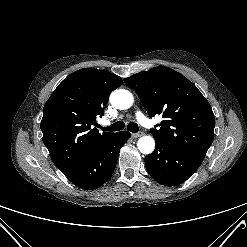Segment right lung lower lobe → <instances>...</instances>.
<instances>
[{
  "label": "right lung lower lobe",
  "mask_w": 247,
  "mask_h": 247,
  "mask_svg": "<svg viewBox=\"0 0 247 247\" xmlns=\"http://www.w3.org/2000/svg\"><path fill=\"white\" fill-rule=\"evenodd\" d=\"M129 137L127 131L114 133L65 175L75 186L85 190L102 186L111 177L120 149Z\"/></svg>",
  "instance_id": "right-lung-lower-lobe-1"
}]
</instances>
